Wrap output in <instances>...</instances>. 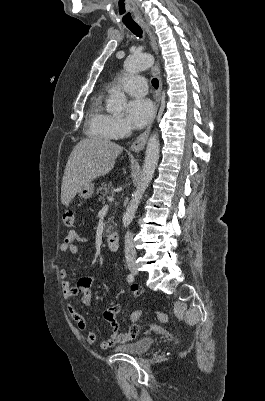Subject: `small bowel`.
I'll use <instances>...</instances> for the list:
<instances>
[{"label": "small bowel", "instance_id": "small-bowel-1", "mask_svg": "<svg viewBox=\"0 0 265 401\" xmlns=\"http://www.w3.org/2000/svg\"><path fill=\"white\" fill-rule=\"evenodd\" d=\"M88 239L78 232L72 230L65 237L64 241L60 245V251L62 253H77L79 251V244L86 243ZM60 278L62 285V292L65 303L68 307L70 316L75 322L77 328L85 333L87 341L92 345H97L100 349L106 350L114 347L118 344H124L131 338L128 337L127 332H120L119 323L117 322L116 316L121 311L120 304H113L106 308L104 311V318L110 324L112 333L106 340L99 341L95 332L88 328L87 322L84 316L78 312L75 308V297L80 295L81 304L89 308L92 304L91 285L95 280V277H83L76 283H71L67 280L66 269L60 270ZM131 292L134 297H138L141 294V289L138 286H132Z\"/></svg>", "mask_w": 265, "mask_h": 401}]
</instances>
